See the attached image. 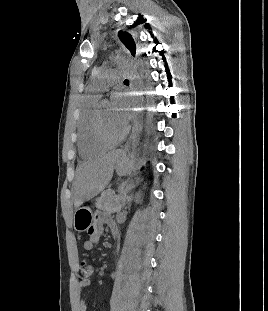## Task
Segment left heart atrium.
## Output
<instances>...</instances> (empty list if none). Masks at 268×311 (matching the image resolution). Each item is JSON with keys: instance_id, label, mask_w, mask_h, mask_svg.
<instances>
[{"instance_id": "left-heart-atrium-1", "label": "left heart atrium", "mask_w": 268, "mask_h": 311, "mask_svg": "<svg viewBox=\"0 0 268 311\" xmlns=\"http://www.w3.org/2000/svg\"><path fill=\"white\" fill-rule=\"evenodd\" d=\"M125 95L122 93H116L113 95V111L115 113V116L117 119L124 125L127 124L129 120V113L128 111L130 110L129 108H126V101L124 100Z\"/></svg>"}]
</instances>
